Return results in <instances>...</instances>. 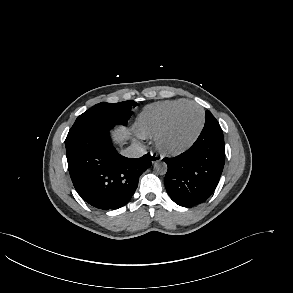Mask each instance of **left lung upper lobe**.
Returning <instances> with one entry per match:
<instances>
[{
    "label": "left lung upper lobe",
    "mask_w": 293,
    "mask_h": 293,
    "mask_svg": "<svg viewBox=\"0 0 293 293\" xmlns=\"http://www.w3.org/2000/svg\"><path fill=\"white\" fill-rule=\"evenodd\" d=\"M210 121H215L217 122V120L215 119V117L212 115V113L210 111H206V123H209ZM205 123V124H206Z\"/></svg>",
    "instance_id": "5c2ea615"
}]
</instances>
